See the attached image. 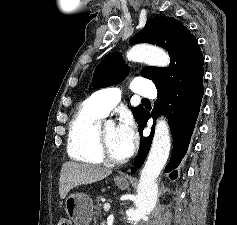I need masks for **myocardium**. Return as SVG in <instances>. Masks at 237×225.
<instances>
[{
	"mask_svg": "<svg viewBox=\"0 0 237 225\" xmlns=\"http://www.w3.org/2000/svg\"><path fill=\"white\" fill-rule=\"evenodd\" d=\"M96 136H97L99 152L101 154L103 161L112 165H120L125 162V159H116L111 155L105 136H104L103 125L99 124L96 131Z\"/></svg>",
	"mask_w": 237,
	"mask_h": 225,
	"instance_id": "f54148a6",
	"label": "myocardium"
}]
</instances>
